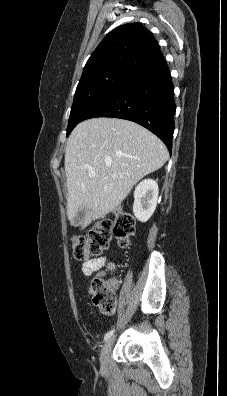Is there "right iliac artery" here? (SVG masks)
<instances>
[{
  "label": "right iliac artery",
  "instance_id": "obj_1",
  "mask_svg": "<svg viewBox=\"0 0 227 396\" xmlns=\"http://www.w3.org/2000/svg\"><path fill=\"white\" fill-rule=\"evenodd\" d=\"M113 333H114V330H111V331L107 332V333L105 334L104 341H106L107 339H109V338L113 335Z\"/></svg>",
  "mask_w": 227,
  "mask_h": 396
}]
</instances>
